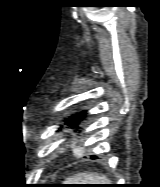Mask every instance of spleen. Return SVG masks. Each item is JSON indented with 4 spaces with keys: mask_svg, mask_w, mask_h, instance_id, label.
Listing matches in <instances>:
<instances>
[{
    "mask_svg": "<svg viewBox=\"0 0 160 187\" xmlns=\"http://www.w3.org/2000/svg\"><path fill=\"white\" fill-rule=\"evenodd\" d=\"M105 176L79 173L68 179L67 184H109Z\"/></svg>",
    "mask_w": 160,
    "mask_h": 187,
    "instance_id": "spleen-1",
    "label": "spleen"
}]
</instances>
